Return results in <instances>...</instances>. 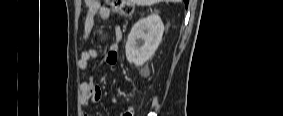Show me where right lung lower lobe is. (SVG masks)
Masks as SVG:
<instances>
[{"instance_id": "right-lung-lower-lobe-1", "label": "right lung lower lobe", "mask_w": 283, "mask_h": 116, "mask_svg": "<svg viewBox=\"0 0 283 116\" xmlns=\"http://www.w3.org/2000/svg\"><path fill=\"white\" fill-rule=\"evenodd\" d=\"M186 6L188 5L189 0H184Z\"/></svg>"}]
</instances>
